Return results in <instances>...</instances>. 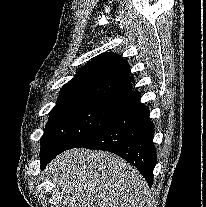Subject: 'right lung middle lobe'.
<instances>
[{
	"instance_id": "right-lung-middle-lobe-1",
	"label": "right lung middle lobe",
	"mask_w": 206,
	"mask_h": 207,
	"mask_svg": "<svg viewBox=\"0 0 206 207\" xmlns=\"http://www.w3.org/2000/svg\"><path fill=\"white\" fill-rule=\"evenodd\" d=\"M129 103L128 96L58 101L41 138V155L77 145L118 117Z\"/></svg>"
}]
</instances>
